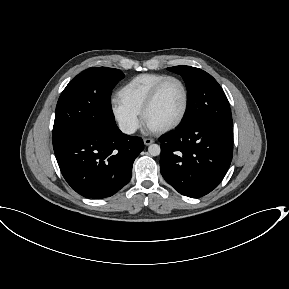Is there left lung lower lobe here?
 Listing matches in <instances>:
<instances>
[{
  "instance_id": "left-lung-lower-lobe-1",
  "label": "left lung lower lobe",
  "mask_w": 289,
  "mask_h": 289,
  "mask_svg": "<svg viewBox=\"0 0 289 289\" xmlns=\"http://www.w3.org/2000/svg\"><path fill=\"white\" fill-rule=\"evenodd\" d=\"M160 170L179 193L201 197L215 189L232 160V126L198 121L160 138Z\"/></svg>"
}]
</instances>
